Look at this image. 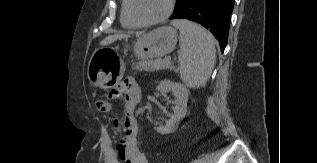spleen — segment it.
Wrapping results in <instances>:
<instances>
[{
    "label": "spleen",
    "instance_id": "1",
    "mask_svg": "<svg viewBox=\"0 0 317 163\" xmlns=\"http://www.w3.org/2000/svg\"><path fill=\"white\" fill-rule=\"evenodd\" d=\"M171 24L180 31L178 62L181 80L189 88L204 87L215 66L213 36L189 20H174Z\"/></svg>",
    "mask_w": 317,
    "mask_h": 163
}]
</instances>
